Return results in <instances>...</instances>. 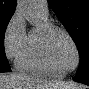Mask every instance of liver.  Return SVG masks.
<instances>
[{
	"label": "liver",
	"instance_id": "liver-1",
	"mask_svg": "<svg viewBox=\"0 0 89 89\" xmlns=\"http://www.w3.org/2000/svg\"><path fill=\"white\" fill-rule=\"evenodd\" d=\"M62 87H68L66 89H82L78 86H65L61 83H51L21 73L0 75L1 89H61Z\"/></svg>",
	"mask_w": 89,
	"mask_h": 89
}]
</instances>
